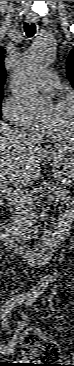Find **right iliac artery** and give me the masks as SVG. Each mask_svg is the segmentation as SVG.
<instances>
[{
	"label": "right iliac artery",
	"instance_id": "1",
	"mask_svg": "<svg viewBox=\"0 0 74 366\" xmlns=\"http://www.w3.org/2000/svg\"><path fill=\"white\" fill-rule=\"evenodd\" d=\"M29 299L27 296L25 295H16L13 298H11L10 300H8L3 309H2V314H1V319H2V324L4 327H8V316L10 311L17 305L23 303V302H28Z\"/></svg>",
	"mask_w": 74,
	"mask_h": 366
}]
</instances>
